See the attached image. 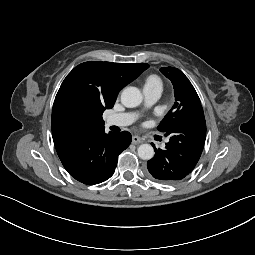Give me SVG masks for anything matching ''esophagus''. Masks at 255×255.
Returning <instances> with one entry per match:
<instances>
[{
	"instance_id": "esophagus-1",
	"label": "esophagus",
	"mask_w": 255,
	"mask_h": 255,
	"mask_svg": "<svg viewBox=\"0 0 255 255\" xmlns=\"http://www.w3.org/2000/svg\"><path fill=\"white\" fill-rule=\"evenodd\" d=\"M142 142H143V140H142L139 136L134 135V136L132 137V143H133V144H140V143H142Z\"/></svg>"
}]
</instances>
